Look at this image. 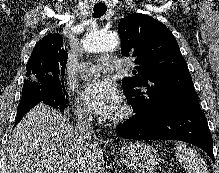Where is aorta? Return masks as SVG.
<instances>
[{
	"label": "aorta",
	"mask_w": 219,
	"mask_h": 173,
	"mask_svg": "<svg viewBox=\"0 0 219 173\" xmlns=\"http://www.w3.org/2000/svg\"><path fill=\"white\" fill-rule=\"evenodd\" d=\"M119 45L120 41L117 36L97 29L87 33L83 40L84 51L93 53L114 51Z\"/></svg>",
	"instance_id": "1"
}]
</instances>
